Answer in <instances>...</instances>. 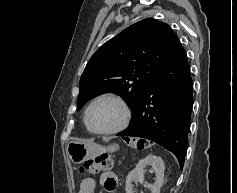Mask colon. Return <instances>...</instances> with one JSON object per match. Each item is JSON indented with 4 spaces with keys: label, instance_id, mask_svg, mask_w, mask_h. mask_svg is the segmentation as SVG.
I'll return each mask as SVG.
<instances>
[{
    "label": "colon",
    "instance_id": "1",
    "mask_svg": "<svg viewBox=\"0 0 237 193\" xmlns=\"http://www.w3.org/2000/svg\"><path fill=\"white\" fill-rule=\"evenodd\" d=\"M125 142L137 148L144 147L143 142L140 139H126ZM113 166H114L113 157L108 153H104L99 157H97L96 159L85 163L84 167L81 169V172L90 173L98 171H109L113 168Z\"/></svg>",
    "mask_w": 237,
    "mask_h": 193
}]
</instances>
